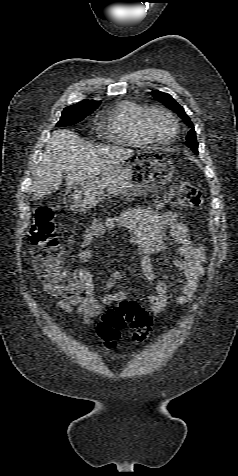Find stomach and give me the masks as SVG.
I'll use <instances>...</instances> for the list:
<instances>
[{"instance_id": "stomach-1", "label": "stomach", "mask_w": 238, "mask_h": 476, "mask_svg": "<svg viewBox=\"0 0 238 476\" xmlns=\"http://www.w3.org/2000/svg\"><path fill=\"white\" fill-rule=\"evenodd\" d=\"M174 172L172 161L160 151H136L99 177L69 186L63 200L71 211L82 212L112 195H153Z\"/></svg>"}]
</instances>
